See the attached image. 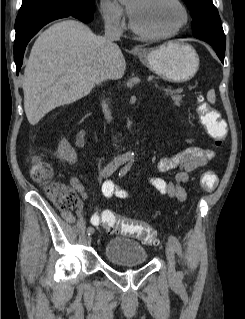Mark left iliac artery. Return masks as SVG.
Returning <instances> with one entry per match:
<instances>
[{"instance_id":"left-iliac-artery-1","label":"left iliac artery","mask_w":245,"mask_h":319,"mask_svg":"<svg viewBox=\"0 0 245 319\" xmlns=\"http://www.w3.org/2000/svg\"><path fill=\"white\" fill-rule=\"evenodd\" d=\"M131 165H132V161L128 165L123 167V169H121V171L119 172V176L120 177L124 176L130 170ZM168 241H169L170 245L173 247V249L175 250V252L181 256L182 249H181V244H180L179 240L175 236L171 235V236H169ZM182 277H183V273L179 272L178 278L182 279Z\"/></svg>"}]
</instances>
